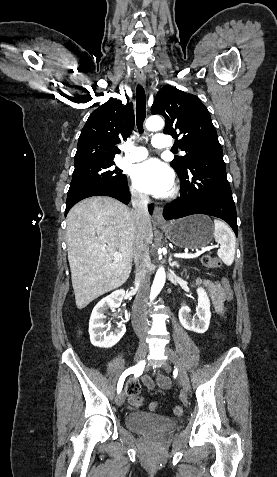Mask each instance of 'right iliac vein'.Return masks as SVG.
<instances>
[{
    "mask_svg": "<svg viewBox=\"0 0 277 477\" xmlns=\"http://www.w3.org/2000/svg\"><path fill=\"white\" fill-rule=\"evenodd\" d=\"M147 354V345L145 343H141L135 353L134 361L139 362L145 358ZM125 401V393L124 391L120 392L115 399V402L118 406L123 405Z\"/></svg>",
    "mask_w": 277,
    "mask_h": 477,
    "instance_id": "obj_1",
    "label": "right iliac vein"
}]
</instances>
